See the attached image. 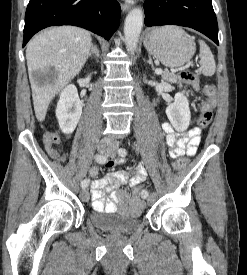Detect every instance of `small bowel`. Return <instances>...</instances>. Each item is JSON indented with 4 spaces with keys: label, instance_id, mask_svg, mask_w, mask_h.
Segmentation results:
<instances>
[{
    "label": "small bowel",
    "instance_id": "c3829d8e",
    "mask_svg": "<svg viewBox=\"0 0 247 275\" xmlns=\"http://www.w3.org/2000/svg\"><path fill=\"white\" fill-rule=\"evenodd\" d=\"M162 129L166 135V143L169 147V155L172 159L188 155L193 156L201 141V130L194 127L185 133L178 134L173 126L164 121ZM47 153L54 159L63 161L65 158L49 144L46 145ZM99 169L92 167L89 170L90 177H96ZM147 172L142 165L135 168L134 175L129 179L123 171L107 173L103 178L96 179L91 183L92 206L98 212H115L120 210L126 214H137L142 210L143 202L131 196L123 185L129 183L134 188L140 186L145 180ZM104 192L110 193V199H104Z\"/></svg>",
    "mask_w": 247,
    "mask_h": 275
}]
</instances>
